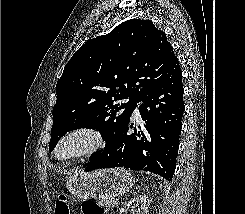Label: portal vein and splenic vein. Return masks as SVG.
<instances>
[{
  "label": "portal vein and splenic vein",
  "mask_w": 245,
  "mask_h": 214,
  "mask_svg": "<svg viewBox=\"0 0 245 214\" xmlns=\"http://www.w3.org/2000/svg\"><path fill=\"white\" fill-rule=\"evenodd\" d=\"M113 204H114V205H117V204H118V201H113Z\"/></svg>",
  "instance_id": "18ae733b"
}]
</instances>
